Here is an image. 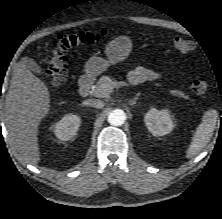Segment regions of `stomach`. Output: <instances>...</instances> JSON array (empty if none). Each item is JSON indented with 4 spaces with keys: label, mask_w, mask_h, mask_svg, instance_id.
Here are the masks:
<instances>
[{
    "label": "stomach",
    "mask_w": 222,
    "mask_h": 219,
    "mask_svg": "<svg viewBox=\"0 0 222 219\" xmlns=\"http://www.w3.org/2000/svg\"><path fill=\"white\" fill-rule=\"evenodd\" d=\"M132 41L126 35H119L111 40L105 49L108 59L93 57L85 65V72L89 77L103 73L110 64L124 61L132 51Z\"/></svg>",
    "instance_id": "0dacf381"
}]
</instances>
